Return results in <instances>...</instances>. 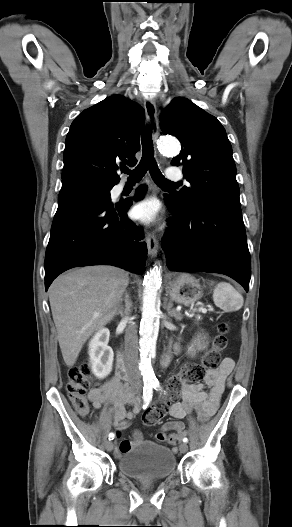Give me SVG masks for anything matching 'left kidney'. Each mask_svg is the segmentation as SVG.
I'll return each mask as SVG.
<instances>
[{"instance_id": "left-kidney-1", "label": "left kidney", "mask_w": 292, "mask_h": 527, "mask_svg": "<svg viewBox=\"0 0 292 527\" xmlns=\"http://www.w3.org/2000/svg\"><path fill=\"white\" fill-rule=\"evenodd\" d=\"M199 337H200V336H198V339H195V340L193 341L194 344L191 345V347L188 348V351H190V352L195 351L194 345L197 346V349H199V350H200V349H204V348L206 347V345H205L204 343H203V344L201 343Z\"/></svg>"}]
</instances>
